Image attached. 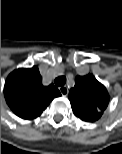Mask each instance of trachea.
Returning a JSON list of instances; mask_svg holds the SVG:
<instances>
[{"label": "trachea", "mask_w": 122, "mask_h": 154, "mask_svg": "<svg viewBox=\"0 0 122 154\" xmlns=\"http://www.w3.org/2000/svg\"><path fill=\"white\" fill-rule=\"evenodd\" d=\"M56 86H64L66 83V77L59 76L54 80Z\"/></svg>", "instance_id": "1"}]
</instances>
